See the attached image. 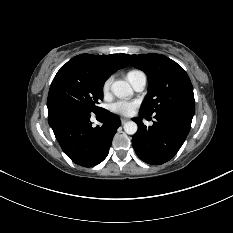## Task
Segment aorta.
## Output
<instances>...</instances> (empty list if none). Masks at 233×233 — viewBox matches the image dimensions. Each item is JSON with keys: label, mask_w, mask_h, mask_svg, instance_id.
I'll return each instance as SVG.
<instances>
[{"label": "aorta", "mask_w": 233, "mask_h": 233, "mask_svg": "<svg viewBox=\"0 0 233 233\" xmlns=\"http://www.w3.org/2000/svg\"><path fill=\"white\" fill-rule=\"evenodd\" d=\"M112 93L118 98H126L133 95V90L130 84L126 81H115L111 85ZM138 126L134 121H128L124 124V131L129 134L133 135L137 132Z\"/></svg>", "instance_id": "1"}]
</instances>
